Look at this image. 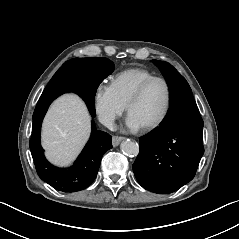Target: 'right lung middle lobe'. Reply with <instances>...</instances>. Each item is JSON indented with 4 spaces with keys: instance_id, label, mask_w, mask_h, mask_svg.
Listing matches in <instances>:
<instances>
[{
    "instance_id": "dd1d6c3e",
    "label": "right lung middle lobe",
    "mask_w": 239,
    "mask_h": 239,
    "mask_svg": "<svg viewBox=\"0 0 239 239\" xmlns=\"http://www.w3.org/2000/svg\"><path fill=\"white\" fill-rule=\"evenodd\" d=\"M80 59H93L94 61L98 62V64L101 67L108 68L110 70L114 69L113 62H111L109 59L103 58V57L71 59V60L67 61L65 64H63V66L54 74V76L52 77V79L50 80V82L48 83L46 88L44 89L41 96H45V95L60 91L61 89L69 86L71 84V82L67 81L69 76L64 74L63 70L67 65H69L71 63H75L77 61H80Z\"/></svg>"
}]
</instances>
